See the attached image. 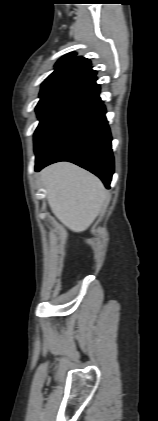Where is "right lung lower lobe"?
I'll return each instance as SVG.
<instances>
[{"label": "right lung lower lobe", "mask_w": 158, "mask_h": 421, "mask_svg": "<svg viewBox=\"0 0 158 421\" xmlns=\"http://www.w3.org/2000/svg\"><path fill=\"white\" fill-rule=\"evenodd\" d=\"M100 86L93 78L68 100L35 151V171L58 162L75 163L97 175L110 188L114 173L111 134Z\"/></svg>", "instance_id": "98d812e1"}]
</instances>
